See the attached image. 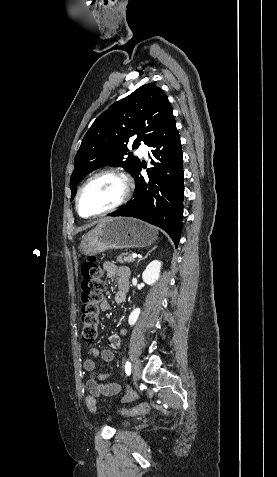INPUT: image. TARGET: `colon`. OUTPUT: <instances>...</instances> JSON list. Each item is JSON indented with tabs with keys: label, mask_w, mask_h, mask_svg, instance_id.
Segmentation results:
<instances>
[{
	"label": "colon",
	"mask_w": 277,
	"mask_h": 477,
	"mask_svg": "<svg viewBox=\"0 0 277 477\" xmlns=\"http://www.w3.org/2000/svg\"><path fill=\"white\" fill-rule=\"evenodd\" d=\"M81 291H80V324L81 337L87 344H92L98 337L99 314L104 300L103 270L97 264L94 257H89L81 267ZM86 405L91 412H97L96 400L92 395L87 396ZM146 404H140L132 408L120 410L123 415H137L147 411Z\"/></svg>",
	"instance_id": "obj_1"
}]
</instances>
